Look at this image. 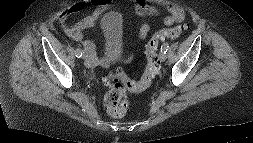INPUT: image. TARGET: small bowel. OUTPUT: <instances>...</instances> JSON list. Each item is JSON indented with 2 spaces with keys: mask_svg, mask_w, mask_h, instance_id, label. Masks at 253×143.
<instances>
[{
  "mask_svg": "<svg viewBox=\"0 0 253 143\" xmlns=\"http://www.w3.org/2000/svg\"><path fill=\"white\" fill-rule=\"evenodd\" d=\"M112 4V0H83L70 6L64 10L57 18L58 24L62 27L64 33L76 42H83L85 48L92 53L94 50L93 43L89 40H84L83 33L92 28L97 18L107 11ZM87 8H92L93 13L82 18L73 25H66L65 22L68 17L78 14ZM135 11L139 15L158 16L164 14V24L172 26L175 23H180L185 19L184 10L176 5H165L157 7L149 4L146 0H135ZM150 33V26L148 24L141 25L138 37L145 40ZM95 60L92 57L88 62L89 65L94 64Z\"/></svg>",
  "mask_w": 253,
  "mask_h": 143,
  "instance_id": "c3829d8e",
  "label": "small bowel"
}]
</instances>
